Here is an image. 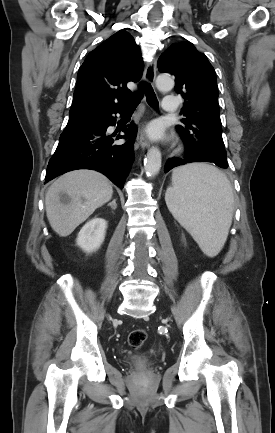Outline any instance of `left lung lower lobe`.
<instances>
[{
	"instance_id": "left-lung-lower-lobe-1",
	"label": "left lung lower lobe",
	"mask_w": 275,
	"mask_h": 433,
	"mask_svg": "<svg viewBox=\"0 0 275 433\" xmlns=\"http://www.w3.org/2000/svg\"><path fill=\"white\" fill-rule=\"evenodd\" d=\"M191 162H195L193 161V159H191L190 157H186L184 160L183 159H177V158H172L170 160L167 161L166 166H165V173L168 172L169 170H171L174 167L186 164V163H191Z\"/></svg>"
}]
</instances>
